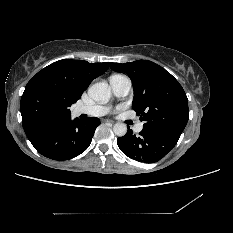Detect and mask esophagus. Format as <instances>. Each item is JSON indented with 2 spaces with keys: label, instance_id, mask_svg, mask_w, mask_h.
Wrapping results in <instances>:
<instances>
[{
  "label": "esophagus",
  "instance_id": "obj_1",
  "mask_svg": "<svg viewBox=\"0 0 233 233\" xmlns=\"http://www.w3.org/2000/svg\"><path fill=\"white\" fill-rule=\"evenodd\" d=\"M105 122H107V123H114V121L113 120H109V119H107V120H105Z\"/></svg>",
  "mask_w": 233,
  "mask_h": 233
}]
</instances>
